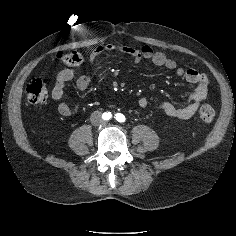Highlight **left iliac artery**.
<instances>
[{
    "instance_id": "1",
    "label": "left iliac artery",
    "mask_w": 236,
    "mask_h": 236,
    "mask_svg": "<svg viewBox=\"0 0 236 236\" xmlns=\"http://www.w3.org/2000/svg\"><path fill=\"white\" fill-rule=\"evenodd\" d=\"M115 118L118 122H125V120H126L125 116L121 113L115 114Z\"/></svg>"
}]
</instances>
